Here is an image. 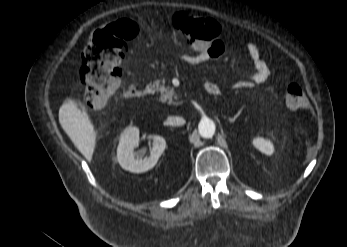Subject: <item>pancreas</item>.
Returning <instances> with one entry per match:
<instances>
[{"label":"pancreas","mask_w":347,"mask_h":247,"mask_svg":"<svg viewBox=\"0 0 347 247\" xmlns=\"http://www.w3.org/2000/svg\"><path fill=\"white\" fill-rule=\"evenodd\" d=\"M164 83H165L164 80L163 81L156 80L153 83V87L155 88V90L161 93L159 100L163 103L167 102L168 104H173V105L182 104V101H178V96L175 93L174 89L169 86L166 87Z\"/></svg>","instance_id":"obj_1"}]
</instances>
